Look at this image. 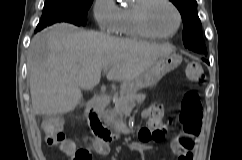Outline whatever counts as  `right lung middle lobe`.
Here are the masks:
<instances>
[{
    "mask_svg": "<svg viewBox=\"0 0 242 160\" xmlns=\"http://www.w3.org/2000/svg\"><path fill=\"white\" fill-rule=\"evenodd\" d=\"M93 0H45L41 20L35 32L56 22L85 25L86 14Z\"/></svg>",
    "mask_w": 242,
    "mask_h": 160,
    "instance_id": "1",
    "label": "right lung middle lobe"
}]
</instances>
